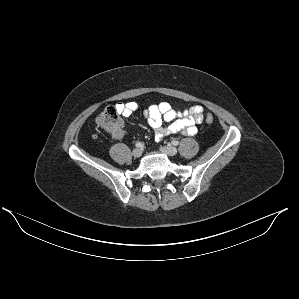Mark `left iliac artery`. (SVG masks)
<instances>
[{
  "mask_svg": "<svg viewBox=\"0 0 299 299\" xmlns=\"http://www.w3.org/2000/svg\"><path fill=\"white\" fill-rule=\"evenodd\" d=\"M171 144L174 145V146H177V145H179V142H178L177 140H173V141L171 142Z\"/></svg>",
  "mask_w": 299,
  "mask_h": 299,
  "instance_id": "1",
  "label": "left iliac artery"
}]
</instances>
